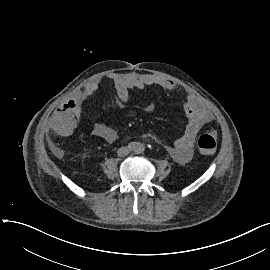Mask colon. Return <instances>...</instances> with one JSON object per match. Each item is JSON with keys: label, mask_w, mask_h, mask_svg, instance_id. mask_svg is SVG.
Wrapping results in <instances>:
<instances>
[{"label": "colon", "mask_w": 270, "mask_h": 270, "mask_svg": "<svg viewBox=\"0 0 270 270\" xmlns=\"http://www.w3.org/2000/svg\"><path fill=\"white\" fill-rule=\"evenodd\" d=\"M198 151L203 155H211L217 148V137L214 132H207L197 139Z\"/></svg>", "instance_id": "1"}]
</instances>
